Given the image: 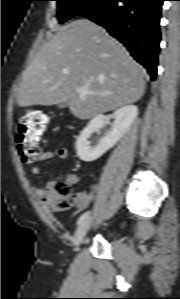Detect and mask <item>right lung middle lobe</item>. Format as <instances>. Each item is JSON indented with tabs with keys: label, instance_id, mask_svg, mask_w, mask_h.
<instances>
[{
	"label": "right lung middle lobe",
	"instance_id": "dd1d6c3e",
	"mask_svg": "<svg viewBox=\"0 0 180 299\" xmlns=\"http://www.w3.org/2000/svg\"><path fill=\"white\" fill-rule=\"evenodd\" d=\"M58 1V20L63 23L75 15H81L104 0H56Z\"/></svg>",
	"mask_w": 180,
	"mask_h": 299
}]
</instances>
